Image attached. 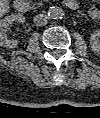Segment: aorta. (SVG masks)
<instances>
[{"mask_svg": "<svg viewBox=\"0 0 100 118\" xmlns=\"http://www.w3.org/2000/svg\"><path fill=\"white\" fill-rule=\"evenodd\" d=\"M47 14H48V17L50 19L58 20V19H62L63 18L64 11L62 10L61 7L53 6V7L49 8Z\"/></svg>", "mask_w": 100, "mask_h": 118, "instance_id": "762f6f07", "label": "aorta"}]
</instances>
